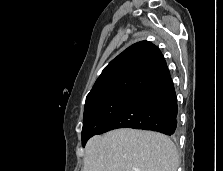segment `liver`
Masks as SVG:
<instances>
[{
    "label": "liver",
    "instance_id": "1",
    "mask_svg": "<svg viewBox=\"0 0 223 171\" xmlns=\"http://www.w3.org/2000/svg\"><path fill=\"white\" fill-rule=\"evenodd\" d=\"M178 153L169 137L121 128L90 138L82 171H177Z\"/></svg>",
    "mask_w": 223,
    "mask_h": 171
}]
</instances>
